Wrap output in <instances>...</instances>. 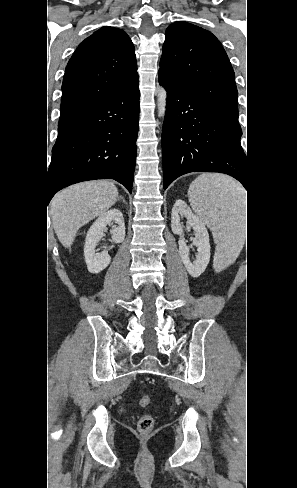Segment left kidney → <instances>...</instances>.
Segmentation results:
<instances>
[{
    "mask_svg": "<svg viewBox=\"0 0 297 488\" xmlns=\"http://www.w3.org/2000/svg\"><path fill=\"white\" fill-rule=\"evenodd\" d=\"M183 216L186 217L187 224L195 231L193 244L198 247V253L193 262L189 258V247L183 238V226L180 223V218ZM171 228L174 234L180 236L178 241L179 254L188 273L192 277L200 276L210 261L209 234L204 223L191 211L185 201L177 200L172 208Z\"/></svg>",
    "mask_w": 297,
    "mask_h": 488,
    "instance_id": "1",
    "label": "left kidney"
}]
</instances>
